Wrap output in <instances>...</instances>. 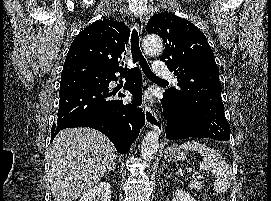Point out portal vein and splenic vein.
<instances>
[{
	"label": "portal vein and splenic vein",
	"instance_id": "18ae733b",
	"mask_svg": "<svg viewBox=\"0 0 271 201\" xmlns=\"http://www.w3.org/2000/svg\"><path fill=\"white\" fill-rule=\"evenodd\" d=\"M196 178H197V179H203V175L198 174V175L196 176Z\"/></svg>",
	"mask_w": 271,
	"mask_h": 201
}]
</instances>
